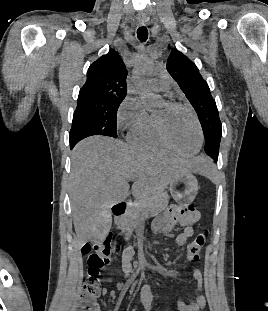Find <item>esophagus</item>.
Wrapping results in <instances>:
<instances>
[{
    "label": "esophagus",
    "instance_id": "esophagus-1",
    "mask_svg": "<svg viewBox=\"0 0 268 311\" xmlns=\"http://www.w3.org/2000/svg\"><path fill=\"white\" fill-rule=\"evenodd\" d=\"M146 21L147 20H146V17L144 15L138 16V23H139V25H141V26L145 25Z\"/></svg>",
    "mask_w": 268,
    "mask_h": 311
}]
</instances>
